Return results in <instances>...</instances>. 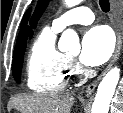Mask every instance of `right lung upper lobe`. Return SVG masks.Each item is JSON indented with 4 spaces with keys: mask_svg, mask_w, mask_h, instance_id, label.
Segmentation results:
<instances>
[{
    "mask_svg": "<svg viewBox=\"0 0 123 113\" xmlns=\"http://www.w3.org/2000/svg\"><path fill=\"white\" fill-rule=\"evenodd\" d=\"M31 8L27 10V12L24 14V17L22 19L21 27H20V32L17 38L15 50H18L22 46L26 45V39H27V21L30 16Z\"/></svg>",
    "mask_w": 123,
    "mask_h": 113,
    "instance_id": "cb5924a9",
    "label": "right lung upper lobe"
}]
</instances>
